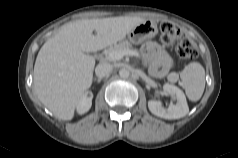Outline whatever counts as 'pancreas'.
Returning <instances> with one entry per match:
<instances>
[{
  "instance_id": "cf45deb5",
  "label": "pancreas",
  "mask_w": 238,
  "mask_h": 158,
  "mask_svg": "<svg viewBox=\"0 0 238 158\" xmlns=\"http://www.w3.org/2000/svg\"><path fill=\"white\" fill-rule=\"evenodd\" d=\"M122 50H133L132 45L130 44V42L122 41L118 44H115V45L111 46L110 48H108L105 51V54L108 56V54L113 52V51H122Z\"/></svg>"
}]
</instances>
